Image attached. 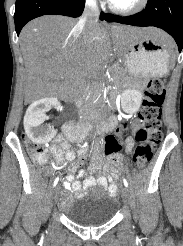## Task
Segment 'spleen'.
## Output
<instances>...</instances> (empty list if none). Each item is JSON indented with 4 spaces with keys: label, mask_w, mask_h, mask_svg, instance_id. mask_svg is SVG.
I'll return each mask as SVG.
<instances>
[{
    "label": "spleen",
    "mask_w": 183,
    "mask_h": 246,
    "mask_svg": "<svg viewBox=\"0 0 183 246\" xmlns=\"http://www.w3.org/2000/svg\"><path fill=\"white\" fill-rule=\"evenodd\" d=\"M139 57H140V58H145V57H147V55H146L145 53H141V54L139 55ZM167 71H168V69H167Z\"/></svg>",
    "instance_id": "3e777b00"
}]
</instances>
